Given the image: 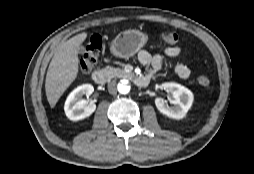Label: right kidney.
Here are the masks:
<instances>
[{
	"mask_svg": "<svg viewBox=\"0 0 254 174\" xmlns=\"http://www.w3.org/2000/svg\"><path fill=\"white\" fill-rule=\"evenodd\" d=\"M94 87L91 84H83L75 88L67 97L64 105L66 116L72 121H78L90 116L96 109L93 103L87 104L81 99L83 95H91Z\"/></svg>",
	"mask_w": 254,
	"mask_h": 174,
	"instance_id": "ca27d5eb",
	"label": "right kidney"
}]
</instances>
